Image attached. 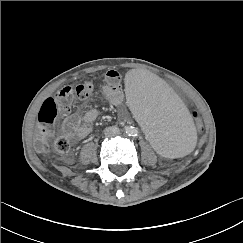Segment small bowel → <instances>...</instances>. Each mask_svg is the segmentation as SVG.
Listing matches in <instances>:
<instances>
[{"label": "small bowel", "instance_id": "obj_1", "mask_svg": "<svg viewBox=\"0 0 243 243\" xmlns=\"http://www.w3.org/2000/svg\"><path fill=\"white\" fill-rule=\"evenodd\" d=\"M106 86L104 93L115 106H121L124 94L121 88V77L118 71L111 69L105 75ZM98 116L96 108L89 109L84 115L73 113L65 117L62 131L73 140L85 138L91 131L92 123Z\"/></svg>", "mask_w": 243, "mask_h": 243}]
</instances>
